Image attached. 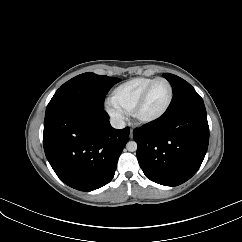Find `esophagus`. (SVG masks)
Returning a JSON list of instances; mask_svg holds the SVG:
<instances>
[{
	"instance_id": "esophagus-1",
	"label": "esophagus",
	"mask_w": 242,
	"mask_h": 242,
	"mask_svg": "<svg viewBox=\"0 0 242 242\" xmlns=\"http://www.w3.org/2000/svg\"><path fill=\"white\" fill-rule=\"evenodd\" d=\"M130 138H133V130H130Z\"/></svg>"
}]
</instances>
